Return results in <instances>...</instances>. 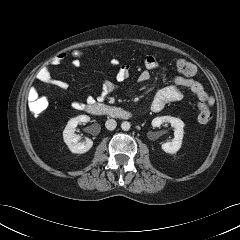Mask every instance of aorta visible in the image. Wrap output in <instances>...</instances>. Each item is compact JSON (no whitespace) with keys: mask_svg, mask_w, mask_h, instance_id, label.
<instances>
[{"mask_svg":"<svg viewBox=\"0 0 240 240\" xmlns=\"http://www.w3.org/2000/svg\"><path fill=\"white\" fill-rule=\"evenodd\" d=\"M130 127H131V125H130V123L127 122V121H124V122H122V124H121V128H122V130H124V131H128V130L130 129Z\"/></svg>","mask_w":240,"mask_h":240,"instance_id":"aorta-1","label":"aorta"}]
</instances>
